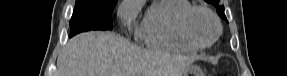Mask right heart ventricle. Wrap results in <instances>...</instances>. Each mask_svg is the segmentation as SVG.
Segmentation results:
<instances>
[{
    "instance_id": "obj_1",
    "label": "right heart ventricle",
    "mask_w": 287,
    "mask_h": 76,
    "mask_svg": "<svg viewBox=\"0 0 287 76\" xmlns=\"http://www.w3.org/2000/svg\"><path fill=\"white\" fill-rule=\"evenodd\" d=\"M191 3L188 0H160L146 12L136 32L146 47L165 52L192 53L198 48L188 43L180 31V17Z\"/></svg>"
}]
</instances>
